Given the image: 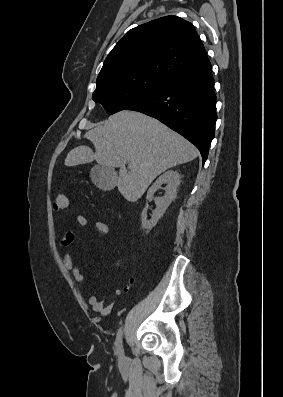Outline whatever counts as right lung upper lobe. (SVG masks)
<instances>
[{
  "mask_svg": "<svg viewBox=\"0 0 283 397\" xmlns=\"http://www.w3.org/2000/svg\"><path fill=\"white\" fill-rule=\"evenodd\" d=\"M208 64L194 26L180 17L166 16L128 31L108 54L97 81L131 75L168 81Z\"/></svg>",
  "mask_w": 283,
  "mask_h": 397,
  "instance_id": "right-lung-upper-lobe-1",
  "label": "right lung upper lobe"
}]
</instances>
